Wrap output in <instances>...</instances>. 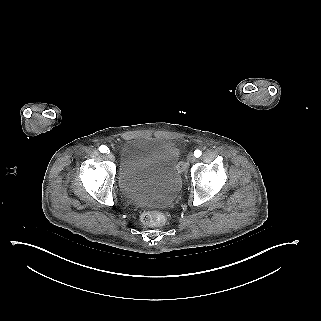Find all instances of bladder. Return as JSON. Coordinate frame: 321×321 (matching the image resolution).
I'll return each mask as SVG.
<instances>
[{
  "label": "bladder",
  "mask_w": 321,
  "mask_h": 321,
  "mask_svg": "<svg viewBox=\"0 0 321 321\" xmlns=\"http://www.w3.org/2000/svg\"><path fill=\"white\" fill-rule=\"evenodd\" d=\"M118 184L131 202L166 205L182 186L180 153L170 140L136 137L124 142L119 158Z\"/></svg>",
  "instance_id": "bladder-1"
}]
</instances>
